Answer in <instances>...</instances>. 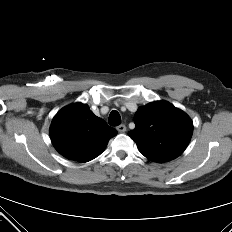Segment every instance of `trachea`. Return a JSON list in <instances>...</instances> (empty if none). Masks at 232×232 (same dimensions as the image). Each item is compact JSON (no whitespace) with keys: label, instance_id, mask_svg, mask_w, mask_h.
Returning a JSON list of instances; mask_svg holds the SVG:
<instances>
[{"label":"trachea","instance_id":"3493384b","mask_svg":"<svg viewBox=\"0 0 232 232\" xmlns=\"http://www.w3.org/2000/svg\"><path fill=\"white\" fill-rule=\"evenodd\" d=\"M108 121L111 126L120 125L121 124L120 114L117 111L113 110L109 115Z\"/></svg>","mask_w":232,"mask_h":232}]
</instances>
